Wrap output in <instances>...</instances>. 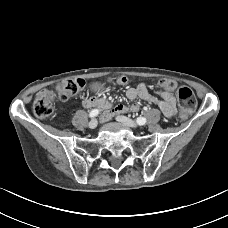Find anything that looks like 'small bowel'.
Returning <instances> with one entry per match:
<instances>
[{
  "mask_svg": "<svg viewBox=\"0 0 228 228\" xmlns=\"http://www.w3.org/2000/svg\"><path fill=\"white\" fill-rule=\"evenodd\" d=\"M126 97L129 100L139 98L156 105L168 119H172L176 115V99L174 95L169 91H151L147 83H140L137 87L128 88ZM83 106L86 108H105L106 111L103 114V120L110 119L114 115L122 112H136L139 110V105L136 103L128 106L120 104L114 107H108L105 105V100L99 98L97 95L85 98L83 100Z\"/></svg>",
  "mask_w": 228,
  "mask_h": 228,
  "instance_id": "1",
  "label": "small bowel"
}]
</instances>
